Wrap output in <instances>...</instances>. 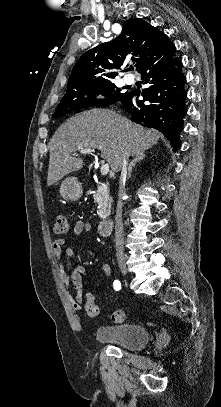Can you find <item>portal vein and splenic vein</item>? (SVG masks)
Returning a JSON list of instances; mask_svg holds the SVG:
<instances>
[{
  "instance_id": "1",
  "label": "portal vein and splenic vein",
  "mask_w": 221,
  "mask_h": 407,
  "mask_svg": "<svg viewBox=\"0 0 221 407\" xmlns=\"http://www.w3.org/2000/svg\"><path fill=\"white\" fill-rule=\"evenodd\" d=\"M93 152H95V150L90 149V148H85V149H80L79 150V153H81V154H89V153H93ZM100 172H101V175H103V176L107 175L108 172H109V164L108 163H103L101 168H100Z\"/></svg>"
}]
</instances>
